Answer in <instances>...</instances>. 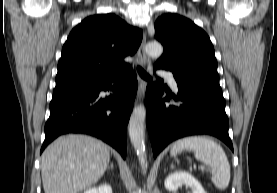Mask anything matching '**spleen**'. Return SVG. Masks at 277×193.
<instances>
[{
    "instance_id": "3e777b00",
    "label": "spleen",
    "mask_w": 277,
    "mask_h": 193,
    "mask_svg": "<svg viewBox=\"0 0 277 193\" xmlns=\"http://www.w3.org/2000/svg\"><path fill=\"white\" fill-rule=\"evenodd\" d=\"M184 150L193 151L195 158L212 168L211 181L219 190H225L230 182V164L223 148L205 136H190L177 140L171 148V156Z\"/></svg>"
}]
</instances>
